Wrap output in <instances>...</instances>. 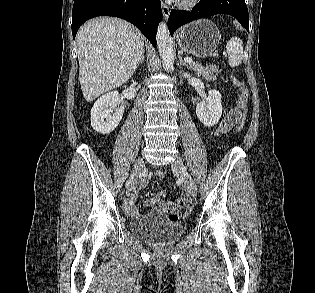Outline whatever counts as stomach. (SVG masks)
<instances>
[{
	"mask_svg": "<svg viewBox=\"0 0 315 293\" xmlns=\"http://www.w3.org/2000/svg\"><path fill=\"white\" fill-rule=\"evenodd\" d=\"M221 35L217 26L202 19L183 26L176 36L179 48L198 58H205L216 50Z\"/></svg>",
	"mask_w": 315,
	"mask_h": 293,
	"instance_id": "obj_1",
	"label": "stomach"
}]
</instances>
